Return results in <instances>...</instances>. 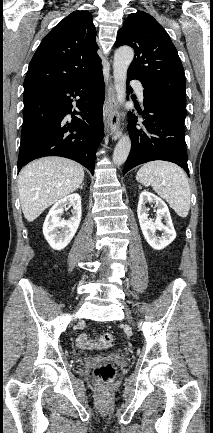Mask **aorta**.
<instances>
[{
    "label": "aorta",
    "mask_w": 213,
    "mask_h": 433,
    "mask_svg": "<svg viewBox=\"0 0 213 433\" xmlns=\"http://www.w3.org/2000/svg\"><path fill=\"white\" fill-rule=\"evenodd\" d=\"M134 58L132 48L124 46L116 50L113 61L114 86L117 95V101L121 104L126 99V80L128 67ZM131 150V140L128 135H123L115 146L113 153V162L116 165H122Z\"/></svg>",
    "instance_id": "obj_1"
}]
</instances>
